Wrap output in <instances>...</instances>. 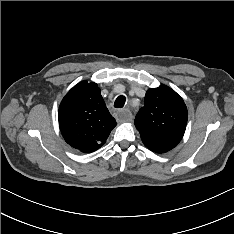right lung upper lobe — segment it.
<instances>
[{
    "instance_id": "right-lung-upper-lobe-1",
    "label": "right lung upper lobe",
    "mask_w": 234,
    "mask_h": 234,
    "mask_svg": "<svg viewBox=\"0 0 234 234\" xmlns=\"http://www.w3.org/2000/svg\"><path fill=\"white\" fill-rule=\"evenodd\" d=\"M65 141L82 152L105 144L116 121L109 113L96 83L82 81L63 98L58 112Z\"/></svg>"
}]
</instances>
